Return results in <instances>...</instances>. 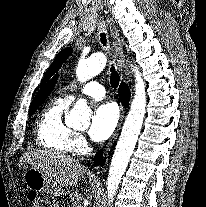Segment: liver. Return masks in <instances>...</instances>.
I'll return each instance as SVG.
<instances>
[{
	"instance_id": "liver-1",
	"label": "liver",
	"mask_w": 206,
	"mask_h": 207,
	"mask_svg": "<svg viewBox=\"0 0 206 207\" xmlns=\"http://www.w3.org/2000/svg\"><path fill=\"white\" fill-rule=\"evenodd\" d=\"M23 162L30 163L61 190L62 187L76 185L86 172L85 166L78 160L52 150L29 152L23 156Z\"/></svg>"
}]
</instances>
